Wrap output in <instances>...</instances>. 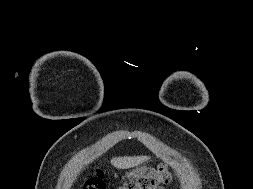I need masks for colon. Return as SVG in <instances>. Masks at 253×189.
<instances>
[{"label": "colon", "mask_w": 253, "mask_h": 189, "mask_svg": "<svg viewBox=\"0 0 253 189\" xmlns=\"http://www.w3.org/2000/svg\"><path fill=\"white\" fill-rule=\"evenodd\" d=\"M171 178L169 170L161 165L135 180L124 183L117 189H161V186L169 183ZM80 189H106L102 173L98 172L86 179L81 184Z\"/></svg>", "instance_id": "obj_1"}]
</instances>
